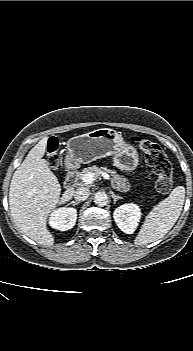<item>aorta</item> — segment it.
<instances>
[{
    "instance_id": "obj_1",
    "label": "aorta",
    "mask_w": 193,
    "mask_h": 351,
    "mask_svg": "<svg viewBox=\"0 0 193 351\" xmlns=\"http://www.w3.org/2000/svg\"><path fill=\"white\" fill-rule=\"evenodd\" d=\"M94 202L96 205L103 207L108 203V197L105 192H97L94 196Z\"/></svg>"
}]
</instances>
